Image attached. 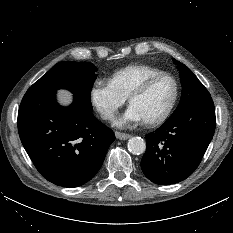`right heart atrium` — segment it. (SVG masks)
<instances>
[{
	"label": "right heart atrium",
	"mask_w": 233,
	"mask_h": 233,
	"mask_svg": "<svg viewBox=\"0 0 233 233\" xmlns=\"http://www.w3.org/2000/svg\"><path fill=\"white\" fill-rule=\"evenodd\" d=\"M90 100L100 116L113 121L119 109L125 104L124 97L110 80L96 79L90 89Z\"/></svg>",
	"instance_id": "right-heart-atrium-1"
}]
</instances>
